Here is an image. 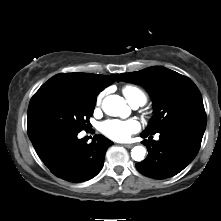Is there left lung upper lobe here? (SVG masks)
Segmentation results:
<instances>
[{"mask_svg":"<svg viewBox=\"0 0 221 221\" xmlns=\"http://www.w3.org/2000/svg\"><path fill=\"white\" fill-rule=\"evenodd\" d=\"M117 81L142 85L153 100L154 115L143 133L154 134L186 119L206 120L200 91L188 77L161 66L122 73Z\"/></svg>","mask_w":221,"mask_h":221,"instance_id":"obj_1","label":"left lung upper lobe"}]
</instances>
